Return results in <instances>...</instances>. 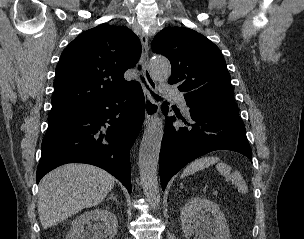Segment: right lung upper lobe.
<instances>
[{"instance_id": "obj_1", "label": "right lung upper lobe", "mask_w": 304, "mask_h": 239, "mask_svg": "<svg viewBox=\"0 0 304 239\" xmlns=\"http://www.w3.org/2000/svg\"><path fill=\"white\" fill-rule=\"evenodd\" d=\"M140 55V40L126 27L104 23L80 34L57 64L48 120L75 114L129 88L135 82L123 74Z\"/></svg>"}]
</instances>
